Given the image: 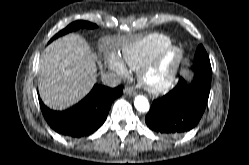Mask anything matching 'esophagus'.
Here are the masks:
<instances>
[{"instance_id":"esophagus-1","label":"esophagus","mask_w":249,"mask_h":165,"mask_svg":"<svg viewBox=\"0 0 249 165\" xmlns=\"http://www.w3.org/2000/svg\"><path fill=\"white\" fill-rule=\"evenodd\" d=\"M124 93L131 96V95H135L136 91L132 86H126L124 89Z\"/></svg>"}]
</instances>
